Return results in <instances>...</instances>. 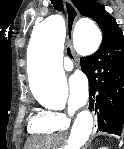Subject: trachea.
<instances>
[{"label": "trachea", "instance_id": "3493384b", "mask_svg": "<svg viewBox=\"0 0 124 149\" xmlns=\"http://www.w3.org/2000/svg\"><path fill=\"white\" fill-rule=\"evenodd\" d=\"M51 3L55 10H57L59 12L63 11V3L61 0H51ZM68 55H69V57L73 58L72 54L70 52V49H68Z\"/></svg>", "mask_w": 124, "mask_h": 149}]
</instances>
